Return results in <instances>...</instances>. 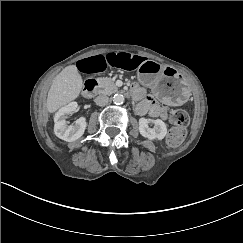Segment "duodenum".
<instances>
[{
    "instance_id": "obj_1",
    "label": "duodenum",
    "mask_w": 243,
    "mask_h": 243,
    "mask_svg": "<svg viewBox=\"0 0 243 243\" xmlns=\"http://www.w3.org/2000/svg\"><path fill=\"white\" fill-rule=\"evenodd\" d=\"M97 88V82L95 79H88L84 85V89H83V97L86 99H90ZM132 96L134 98H137V94L135 92H132Z\"/></svg>"
}]
</instances>
